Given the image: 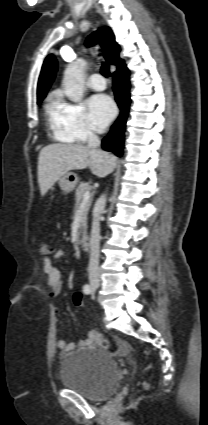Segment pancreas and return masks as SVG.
Returning <instances> with one entry per match:
<instances>
[{"label": "pancreas", "instance_id": "pancreas-1", "mask_svg": "<svg viewBox=\"0 0 208 425\" xmlns=\"http://www.w3.org/2000/svg\"><path fill=\"white\" fill-rule=\"evenodd\" d=\"M91 190V186L89 183L87 182H81L79 184V186L76 189V208L79 207L80 202L83 200V195L85 192H89ZM91 202H88L86 204L85 210L83 212V216H82V220L80 222V228H79V232H78V237L82 236V240H78V243H82L84 237L86 236V231H87V215H88V211L90 208Z\"/></svg>", "mask_w": 208, "mask_h": 425}]
</instances>
